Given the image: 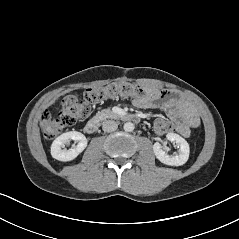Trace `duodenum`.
<instances>
[{"label": "duodenum", "instance_id": "duodenum-1", "mask_svg": "<svg viewBox=\"0 0 239 239\" xmlns=\"http://www.w3.org/2000/svg\"><path fill=\"white\" fill-rule=\"evenodd\" d=\"M122 117L125 120L135 121V122L139 121L140 119L138 115L132 114V113L124 114ZM99 125H100V119L97 117L92 118L86 123L84 127V131L88 134H93L98 130Z\"/></svg>", "mask_w": 239, "mask_h": 239}]
</instances>
